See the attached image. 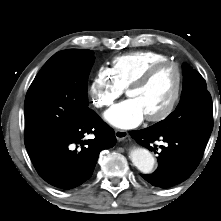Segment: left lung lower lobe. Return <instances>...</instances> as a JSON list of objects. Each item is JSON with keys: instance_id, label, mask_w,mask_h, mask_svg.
I'll return each instance as SVG.
<instances>
[{"instance_id": "obj_1", "label": "left lung lower lobe", "mask_w": 221, "mask_h": 221, "mask_svg": "<svg viewBox=\"0 0 221 221\" xmlns=\"http://www.w3.org/2000/svg\"><path fill=\"white\" fill-rule=\"evenodd\" d=\"M136 141L156 152L155 141L165 142L160 146L158 168L151 174H141L150 184L160 188H169L181 183L191 176L198 166L209 137L193 133H164L154 126L131 131Z\"/></svg>"}]
</instances>
